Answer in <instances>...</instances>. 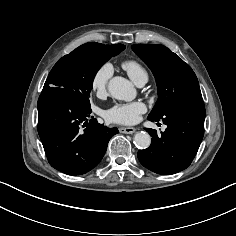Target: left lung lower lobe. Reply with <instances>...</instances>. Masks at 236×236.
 I'll list each match as a JSON object with an SVG mask.
<instances>
[{
	"instance_id": "obj_1",
	"label": "left lung lower lobe",
	"mask_w": 236,
	"mask_h": 236,
	"mask_svg": "<svg viewBox=\"0 0 236 236\" xmlns=\"http://www.w3.org/2000/svg\"><path fill=\"white\" fill-rule=\"evenodd\" d=\"M167 125L164 132L146 129L152 136L149 148L137 153L140 163L163 175L186 169L193 161L204 135L205 106L200 97H190L167 109L162 118H147Z\"/></svg>"
}]
</instances>
